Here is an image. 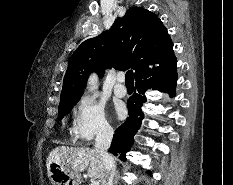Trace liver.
Returning <instances> with one entry per match:
<instances>
[{
    "label": "liver",
    "mask_w": 233,
    "mask_h": 185,
    "mask_svg": "<svg viewBox=\"0 0 233 185\" xmlns=\"http://www.w3.org/2000/svg\"><path fill=\"white\" fill-rule=\"evenodd\" d=\"M52 163L69 167L77 173L87 170L88 176L93 179H100L103 171L101 156L95 149L88 147L74 148L60 146L53 149L46 162L48 176L49 167Z\"/></svg>",
    "instance_id": "liver-1"
}]
</instances>
